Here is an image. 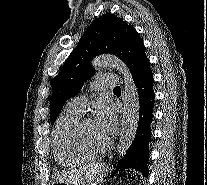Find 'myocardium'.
Returning a JSON list of instances; mask_svg holds the SVG:
<instances>
[{"instance_id":"myocardium-1","label":"myocardium","mask_w":207,"mask_h":185,"mask_svg":"<svg viewBox=\"0 0 207 185\" xmlns=\"http://www.w3.org/2000/svg\"><path fill=\"white\" fill-rule=\"evenodd\" d=\"M85 121L86 120L79 122L76 128V132H75L76 140L78 144L80 145V147L93 156L103 155L107 153L108 151H110L113 145L112 139H109L107 144L101 149H97L91 144V142L88 140V138L86 137L84 133Z\"/></svg>"}]
</instances>
